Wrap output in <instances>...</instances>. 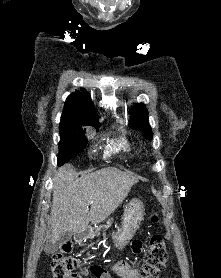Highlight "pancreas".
<instances>
[{
	"instance_id": "cf45deb5",
	"label": "pancreas",
	"mask_w": 221,
	"mask_h": 278,
	"mask_svg": "<svg viewBox=\"0 0 221 278\" xmlns=\"http://www.w3.org/2000/svg\"><path fill=\"white\" fill-rule=\"evenodd\" d=\"M111 223V220L109 219L108 221H107V224L109 225Z\"/></svg>"
}]
</instances>
